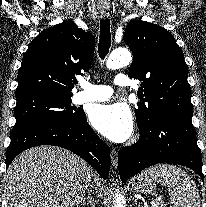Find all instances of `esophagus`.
Returning a JSON list of instances; mask_svg holds the SVG:
<instances>
[{"label": "esophagus", "instance_id": "34e87169", "mask_svg": "<svg viewBox=\"0 0 206 207\" xmlns=\"http://www.w3.org/2000/svg\"><path fill=\"white\" fill-rule=\"evenodd\" d=\"M100 16L106 18L109 16V12L106 10H100ZM111 163L112 167L116 170L118 167V151L115 148L111 149Z\"/></svg>", "mask_w": 206, "mask_h": 207}]
</instances>
